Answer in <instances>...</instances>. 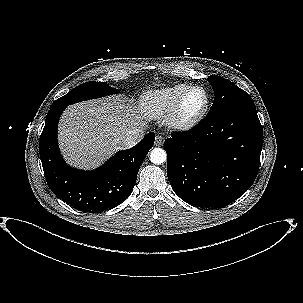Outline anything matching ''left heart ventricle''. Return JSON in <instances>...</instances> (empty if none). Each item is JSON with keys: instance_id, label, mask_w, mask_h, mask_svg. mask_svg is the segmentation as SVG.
Wrapping results in <instances>:
<instances>
[{"instance_id": "b2bd125f", "label": "left heart ventricle", "mask_w": 303, "mask_h": 303, "mask_svg": "<svg viewBox=\"0 0 303 303\" xmlns=\"http://www.w3.org/2000/svg\"><path fill=\"white\" fill-rule=\"evenodd\" d=\"M204 105V95L200 90H194L188 96L185 103V112L187 114H194L198 112Z\"/></svg>"}]
</instances>
